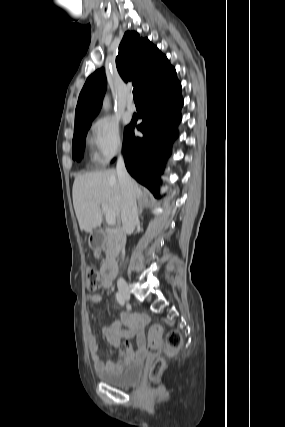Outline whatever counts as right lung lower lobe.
I'll return each mask as SVG.
<instances>
[{"instance_id": "obj_1", "label": "right lung lower lobe", "mask_w": 285, "mask_h": 427, "mask_svg": "<svg viewBox=\"0 0 285 427\" xmlns=\"http://www.w3.org/2000/svg\"><path fill=\"white\" fill-rule=\"evenodd\" d=\"M140 96L143 109L133 116L124 134V161L131 176L158 197L160 174L178 135L183 105L181 84L175 69L171 67L152 80ZM141 118L143 121L137 129L143 137H136L133 130Z\"/></svg>"}]
</instances>
